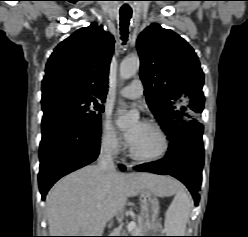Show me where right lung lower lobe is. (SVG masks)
I'll return each mask as SVG.
<instances>
[{
  "label": "right lung lower lobe",
  "instance_id": "1",
  "mask_svg": "<svg viewBox=\"0 0 248 237\" xmlns=\"http://www.w3.org/2000/svg\"><path fill=\"white\" fill-rule=\"evenodd\" d=\"M100 133L97 123L82 125L63 120H42L38 174L42 199L58 179L96 160ZM119 167L125 170L123 165Z\"/></svg>",
  "mask_w": 248,
  "mask_h": 237
}]
</instances>
